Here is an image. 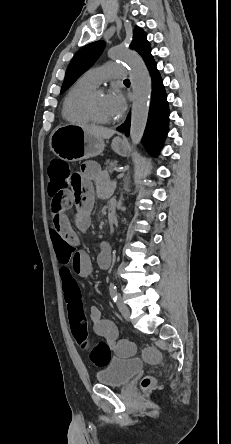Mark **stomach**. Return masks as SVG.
<instances>
[{
	"mask_svg": "<svg viewBox=\"0 0 231 444\" xmlns=\"http://www.w3.org/2000/svg\"><path fill=\"white\" fill-rule=\"evenodd\" d=\"M112 149L119 155H126L128 143L124 138L112 140ZM105 143L102 139L86 132L78 125H61L50 136V148L61 159L77 161L102 154Z\"/></svg>",
	"mask_w": 231,
	"mask_h": 444,
	"instance_id": "stomach-1",
	"label": "stomach"
}]
</instances>
